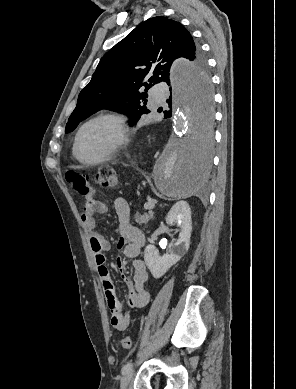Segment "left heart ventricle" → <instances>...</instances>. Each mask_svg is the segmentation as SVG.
<instances>
[{
    "label": "left heart ventricle",
    "instance_id": "obj_1",
    "mask_svg": "<svg viewBox=\"0 0 296 389\" xmlns=\"http://www.w3.org/2000/svg\"><path fill=\"white\" fill-rule=\"evenodd\" d=\"M117 138L118 131L112 121H97L83 131L78 145V154L85 160L97 159L114 144Z\"/></svg>",
    "mask_w": 296,
    "mask_h": 389
}]
</instances>
